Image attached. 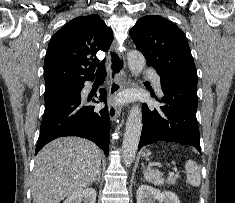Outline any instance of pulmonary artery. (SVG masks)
<instances>
[{"label":"pulmonary artery","instance_id":"pulmonary-artery-1","mask_svg":"<svg viewBox=\"0 0 235 203\" xmlns=\"http://www.w3.org/2000/svg\"><path fill=\"white\" fill-rule=\"evenodd\" d=\"M148 76L150 77L154 87L156 90L161 94L162 89H161V80L160 77L155 73V72H148Z\"/></svg>","mask_w":235,"mask_h":203}]
</instances>
